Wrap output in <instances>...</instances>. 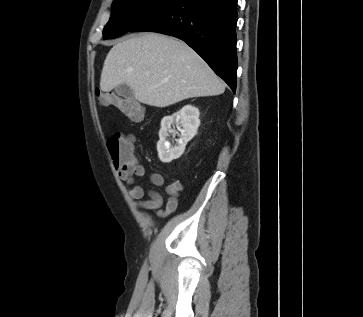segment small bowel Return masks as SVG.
I'll list each match as a JSON object with an SVG mask.
<instances>
[{
    "label": "small bowel",
    "instance_id": "c3829d8e",
    "mask_svg": "<svg viewBox=\"0 0 363 317\" xmlns=\"http://www.w3.org/2000/svg\"><path fill=\"white\" fill-rule=\"evenodd\" d=\"M145 174V167L141 163H135L127 167L120 166L118 168V175L124 182L127 188L128 195L134 201V204L141 209L153 211L158 216H167L175 212L178 208L179 193L183 186L179 181H172L166 187V193L168 195L165 209H162L163 197L157 191H150L149 198L144 199L145 190L141 185H135V177H142ZM150 180L155 186H162L165 182V178L161 173H153L150 176Z\"/></svg>",
    "mask_w": 363,
    "mask_h": 317
}]
</instances>
